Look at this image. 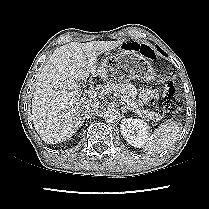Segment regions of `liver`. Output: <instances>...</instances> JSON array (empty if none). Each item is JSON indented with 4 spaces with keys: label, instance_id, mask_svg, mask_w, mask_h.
<instances>
[{
    "label": "liver",
    "instance_id": "6515ba94",
    "mask_svg": "<svg viewBox=\"0 0 209 209\" xmlns=\"http://www.w3.org/2000/svg\"><path fill=\"white\" fill-rule=\"evenodd\" d=\"M124 40L71 42L57 48L41 70L34 87L32 120L35 130L47 144L69 139L83 123L84 99L78 82L89 73L107 77L97 57L122 45ZM108 89L100 87L99 97Z\"/></svg>",
    "mask_w": 209,
    "mask_h": 209
}]
</instances>
